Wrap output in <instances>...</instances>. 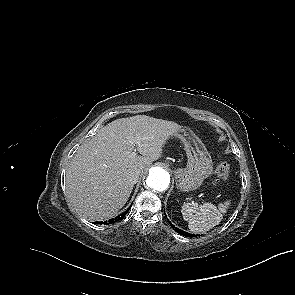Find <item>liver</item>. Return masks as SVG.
<instances>
[{"label":"liver","instance_id":"6515ba94","mask_svg":"<svg viewBox=\"0 0 295 295\" xmlns=\"http://www.w3.org/2000/svg\"><path fill=\"white\" fill-rule=\"evenodd\" d=\"M172 121L137 115L116 119L81 145L66 172L67 198L89 220L113 218L127 202L142 171L162 156ZM139 151L142 156L133 155Z\"/></svg>","mask_w":295,"mask_h":295}]
</instances>
